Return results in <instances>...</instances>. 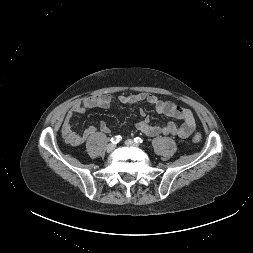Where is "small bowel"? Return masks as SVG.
<instances>
[{
    "label": "small bowel",
    "mask_w": 253,
    "mask_h": 253,
    "mask_svg": "<svg viewBox=\"0 0 253 253\" xmlns=\"http://www.w3.org/2000/svg\"><path fill=\"white\" fill-rule=\"evenodd\" d=\"M115 101L114 96L110 94L94 95L83 98L74 102L67 112L61 132L64 140L71 146L82 145L90 136H92L97 128L95 126H88L83 132L78 133L73 129V118L76 114L84 113L88 109L92 108H109ZM118 101L122 104H136L139 102L146 101L153 105L159 114H163L167 117L180 119L183 121L181 125H177L173 121H168L166 124L152 125L150 124L149 118L146 115L144 109H140L139 113L143 119L137 123L136 127L139 131L147 136L155 137L161 134L173 135L180 138L189 137L195 130V118L193 113L186 108L180 107L173 102L159 99L157 96L148 93H137V94H122L118 96ZM101 131L108 133L109 127L105 122L100 124Z\"/></svg>",
    "instance_id": "1"
}]
</instances>
